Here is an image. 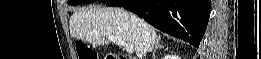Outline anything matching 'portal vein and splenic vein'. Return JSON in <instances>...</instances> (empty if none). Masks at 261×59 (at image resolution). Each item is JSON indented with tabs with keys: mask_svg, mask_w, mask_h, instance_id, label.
Here are the masks:
<instances>
[{
	"mask_svg": "<svg viewBox=\"0 0 261 59\" xmlns=\"http://www.w3.org/2000/svg\"><path fill=\"white\" fill-rule=\"evenodd\" d=\"M108 40H110L111 42L116 43L119 46H122L125 48L126 52L131 54L134 52V46L131 44H127L124 40H122L119 37H115V36H109Z\"/></svg>",
	"mask_w": 261,
	"mask_h": 59,
	"instance_id": "portal-vein-and-splenic-vein-1",
	"label": "portal vein and splenic vein"
}]
</instances>
